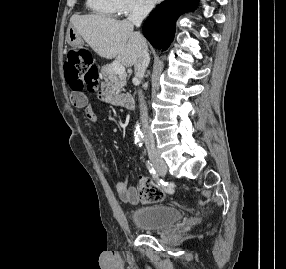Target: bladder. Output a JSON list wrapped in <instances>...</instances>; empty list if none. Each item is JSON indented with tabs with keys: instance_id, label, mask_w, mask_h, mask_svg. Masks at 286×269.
Returning a JSON list of instances; mask_svg holds the SVG:
<instances>
[{
	"instance_id": "obj_1",
	"label": "bladder",
	"mask_w": 286,
	"mask_h": 269,
	"mask_svg": "<svg viewBox=\"0 0 286 269\" xmlns=\"http://www.w3.org/2000/svg\"><path fill=\"white\" fill-rule=\"evenodd\" d=\"M181 220V212L173 206L150 204L132 210V224L143 231H160Z\"/></svg>"
}]
</instances>
